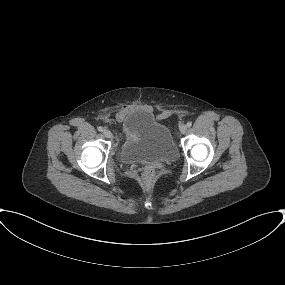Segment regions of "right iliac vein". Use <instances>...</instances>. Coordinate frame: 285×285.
Masks as SVG:
<instances>
[{
    "label": "right iliac vein",
    "mask_w": 285,
    "mask_h": 285,
    "mask_svg": "<svg viewBox=\"0 0 285 285\" xmlns=\"http://www.w3.org/2000/svg\"><path fill=\"white\" fill-rule=\"evenodd\" d=\"M103 134H104V136L106 137V138H112V132L110 131V130H108V129H105L104 131H103Z\"/></svg>",
    "instance_id": "obj_1"
}]
</instances>
